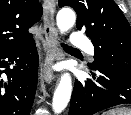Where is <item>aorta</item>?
<instances>
[{"label":"aorta","instance_id":"1","mask_svg":"<svg viewBox=\"0 0 131 115\" xmlns=\"http://www.w3.org/2000/svg\"><path fill=\"white\" fill-rule=\"evenodd\" d=\"M76 16L73 10L69 8L61 9L56 17V22L60 32L68 31L75 23ZM72 93V80L69 73L61 75L60 82L53 96V111L56 114L61 113L67 106Z\"/></svg>","mask_w":131,"mask_h":115}]
</instances>
